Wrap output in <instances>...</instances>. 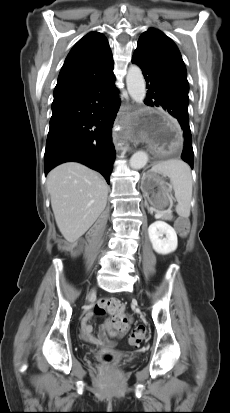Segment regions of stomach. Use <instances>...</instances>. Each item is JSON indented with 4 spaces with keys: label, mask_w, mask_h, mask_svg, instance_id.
Here are the masks:
<instances>
[{
    "label": "stomach",
    "mask_w": 230,
    "mask_h": 413,
    "mask_svg": "<svg viewBox=\"0 0 230 413\" xmlns=\"http://www.w3.org/2000/svg\"><path fill=\"white\" fill-rule=\"evenodd\" d=\"M141 190L156 210H164L171 202V187L158 173H145L141 181Z\"/></svg>",
    "instance_id": "0dacf381"
}]
</instances>
